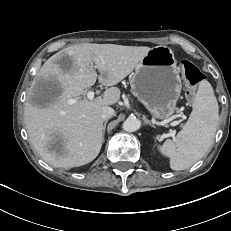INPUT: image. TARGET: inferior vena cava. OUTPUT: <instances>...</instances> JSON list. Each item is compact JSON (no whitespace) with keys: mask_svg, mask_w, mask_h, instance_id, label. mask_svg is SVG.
<instances>
[{"mask_svg":"<svg viewBox=\"0 0 231 231\" xmlns=\"http://www.w3.org/2000/svg\"><path fill=\"white\" fill-rule=\"evenodd\" d=\"M114 115L115 111L113 108L106 106L102 109L101 117L103 120H109Z\"/></svg>","mask_w":231,"mask_h":231,"instance_id":"inferior-vena-cava-1","label":"inferior vena cava"}]
</instances>
